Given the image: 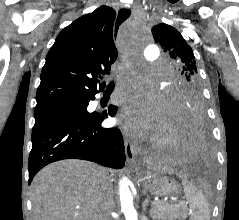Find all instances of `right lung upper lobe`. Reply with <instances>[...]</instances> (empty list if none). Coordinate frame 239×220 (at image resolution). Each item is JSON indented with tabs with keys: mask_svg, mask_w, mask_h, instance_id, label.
<instances>
[{
	"mask_svg": "<svg viewBox=\"0 0 239 220\" xmlns=\"http://www.w3.org/2000/svg\"><path fill=\"white\" fill-rule=\"evenodd\" d=\"M116 12L101 6L75 20L57 36L49 50L37 90V107L81 103L102 91L100 74H109L117 58L113 23Z\"/></svg>",
	"mask_w": 239,
	"mask_h": 220,
	"instance_id": "1",
	"label": "right lung upper lobe"
}]
</instances>
